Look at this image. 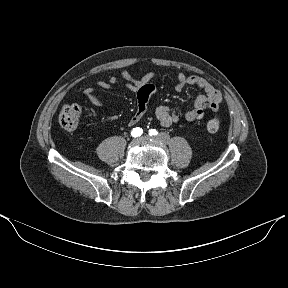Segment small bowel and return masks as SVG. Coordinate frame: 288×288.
<instances>
[{"instance_id": "obj_1", "label": "small bowel", "mask_w": 288, "mask_h": 288, "mask_svg": "<svg viewBox=\"0 0 288 288\" xmlns=\"http://www.w3.org/2000/svg\"><path fill=\"white\" fill-rule=\"evenodd\" d=\"M121 76L126 87L137 94L136 110L127 123L129 127H132L138 124L147 112L149 98L155 92V86L151 83L154 74L150 72L142 78L136 79L129 72L122 71ZM117 83L118 78L110 76L108 80L98 81L97 85L103 89H110ZM185 86H197L204 91V94L197 96L193 108L186 112H181L165 105L158 106L155 110V115L162 126L169 127L181 119L190 122L200 120L207 111L215 112L218 110L222 97L220 92L209 81L199 76L186 75L180 72L177 75L175 89L181 91ZM84 94L94 106L98 108L104 106L102 101L96 96L93 88H86Z\"/></svg>"}]
</instances>
